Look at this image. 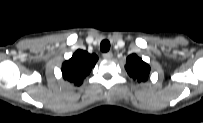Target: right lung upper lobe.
I'll return each mask as SVG.
<instances>
[{
    "instance_id": "1",
    "label": "right lung upper lobe",
    "mask_w": 203,
    "mask_h": 123,
    "mask_svg": "<svg viewBox=\"0 0 203 123\" xmlns=\"http://www.w3.org/2000/svg\"><path fill=\"white\" fill-rule=\"evenodd\" d=\"M97 60L98 57L95 54L77 50L69 60L62 64L63 78L77 86L81 85Z\"/></svg>"
}]
</instances>
